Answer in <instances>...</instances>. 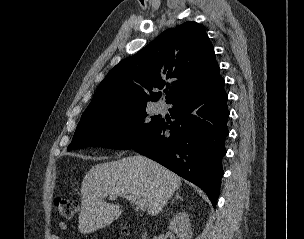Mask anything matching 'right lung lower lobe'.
<instances>
[{
  "instance_id": "1",
  "label": "right lung lower lobe",
  "mask_w": 304,
  "mask_h": 239,
  "mask_svg": "<svg viewBox=\"0 0 304 239\" xmlns=\"http://www.w3.org/2000/svg\"><path fill=\"white\" fill-rule=\"evenodd\" d=\"M228 96L219 71L175 96L170 125L161 120L146 139L132 149L199 186L215 207L223 175L221 160L229 134ZM169 130V134H164Z\"/></svg>"
}]
</instances>
